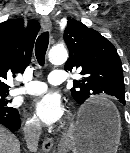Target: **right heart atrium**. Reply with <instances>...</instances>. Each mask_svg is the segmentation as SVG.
<instances>
[{"instance_id": "obj_1", "label": "right heart atrium", "mask_w": 130, "mask_h": 153, "mask_svg": "<svg viewBox=\"0 0 130 153\" xmlns=\"http://www.w3.org/2000/svg\"><path fill=\"white\" fill-rule=\"evenodd\" d=\"M25 131L32 136H35L39 133L40 125L38 121L33 117H28L24 123Z\"/></svg>"}]
</instances>
